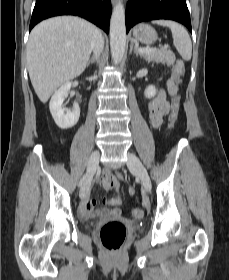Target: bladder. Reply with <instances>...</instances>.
Listing matches in <instances>:
<instances>
[{"label":"bladder","instance_id":"bladder-1","mask_svg":"<svg viewBox=\"0 0 229 280\" xmlns=\"http://www.w3.org/2000/svg\"><path fill=\"white\" fill-rule=\"evenodd\" d=\"M86 225H87L88 228H90L92 226V222L88 221ZM143 230H144L143 226H135L134 227V231H136V232H142Z\"/></svg>","mask_w":229,"mask_h":280}]
</instances>
